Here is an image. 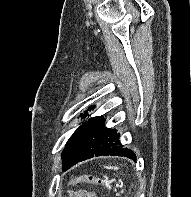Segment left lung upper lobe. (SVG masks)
Here are the masks:
<instances>
[{
  "label": "left lung upper lobe",
  "mask_w": 191,
  "mask_h": 197,
  "mask_svg": "<svg viewBox=\"0 0 191 197\" xmlns=\"http://www.w3.org/2000/svg\"><path fill=\"white\" fill-rule=\"evenodd\" d=\"M71 153H72V146L70 144V141L68 140V142L66 144V147H65V149L63 151V154H62L63 160L69 158Z\"/></svg>",
  "instance_id": "5c2ea615"
}]
</instances>
